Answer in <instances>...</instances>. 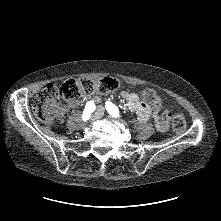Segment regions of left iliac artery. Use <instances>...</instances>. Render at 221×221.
<instances>
[{
    "mask_svg": "<svg viewBox=\"0 0 221 221\" xmlns=\"http://www.w3.org/2000/svg\"><path fill=\"white\" fill-rule=\"evenodd\" d=\"M105 107L112 117L117 118L120 116L118 108L112 102L107 101Z\"/></svg>",
    "mask_w": 221,
    "mask_h": 221,
    "instance_id": "obj_1",
    "label": "left iliac artery"
}]
</instances>
